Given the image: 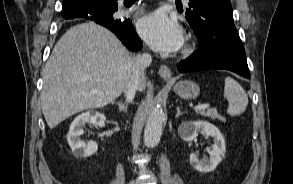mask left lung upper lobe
<instances>
[{
    "label": "left lung upper lobe",
    "mask_w": 293,
    "mask_h": 184,
    "mask_svg": "<svg viewBox=\"0 0 293 184\" xmlns=\"http://www.w3.org/2000/svg\"><path fill=\"white\" fill-rule=\"evenodd\" d=\"M177 10L183 11L181 0L176 1ZM186 19L198 38L213 39L217 33L234 26L233 11L229 0H190Z\"/></svg>",
    "instance_id": "obj_1"
}]
</instances>
